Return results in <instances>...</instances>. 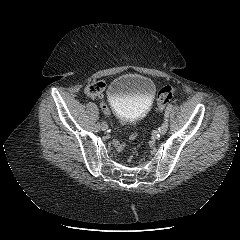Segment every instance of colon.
Here are the masks:
<instances>
[{"mask_svg": "<svg viewBox=\"0 0 240 240\" xmlns=\"http://www.w3.org/2000/svg\"><path fill=\"white\" fill-rule=\"evenodd\" d=\"M104 91V84L100 81H95L90 83L86 87L87 95L91 97H97L99 93ZM176 91L175 86L167 85L161 88L157 94V107L159 111H162L168 102L173 97V94Z\"/></svg>", "mask_w": 240, "mask_h": 240, "instance_id": "obj_1", "label": "colon"}]
</instances>
